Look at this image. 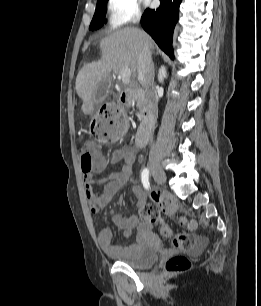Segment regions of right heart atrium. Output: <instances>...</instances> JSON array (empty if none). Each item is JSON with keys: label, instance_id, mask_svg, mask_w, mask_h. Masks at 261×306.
Segmentation results:
<instances>
[{"label": "right heart atrium", "instance_id": "obj_1", "mask_svg": "<svg viewBox=\"0 0 261 306\" xmlns=\"http://www.w3.org/2000/svg\"><path fill=\"white\" fill-rule=\"evenodd\" d=\"M109 25L114 29L136 22L140 17L138 0H108Z\"/></svg>", "mask_w": 261, "mask_h": 306}]
</instances>
